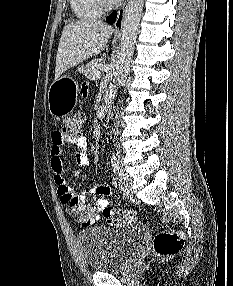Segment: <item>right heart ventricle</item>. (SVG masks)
Returning a JSON list of instances; mask_svg holds the SVG:
<instances>
[{
  "label": "right heart ventricle",
  "instance_id": "1",
  "mask_svg": "<svg viewBox=\"0 0 233 286\" xmlns=\"http://www.w3.org/2000/svg\"><path fill=\"white\" fill-rule=\"evenodd\" d=\"M70 5L75 16L83 21L94 20L102 13L95 0H70Z\"/></svg>",
  "mask_w": 233,
  "mask_h": 286
}]
</instances>
